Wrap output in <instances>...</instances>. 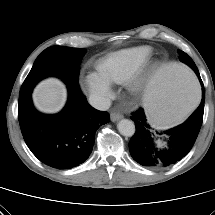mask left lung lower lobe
<instances>
[{
	"label": "left lung lower lobe",
	"instance_id": "0a47b994",
	"mask_svg": "<svg viewBox=\"0 0 215 215\" xmlns=\"http://www.w3.org/2000/svg\"><path fill=\"white\" fill-rule=\"evenodd\" d=\"M197 76L203 86L200 74ZM205 89L202 88V101L193 114L181 125L165 131L166 140L163 146L154 142V133L142 108L132 114L136 132L129 142L132 158L149 168L168 167L185 157L193 147L200 131L204 113ZM160 135V134H159Z\"/></svg>",
	"mask_w": 215,
	"mask_h": 215
}]
</instances>
